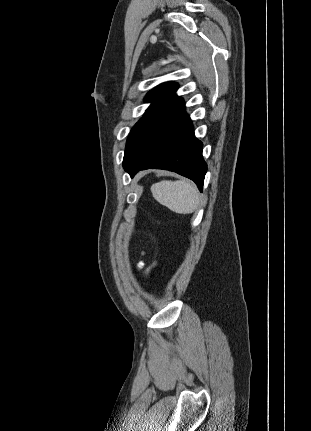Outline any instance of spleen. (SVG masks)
I'll use <instances>...</instances> for the list:
<instances>
[{
    "label": "spleen",
    "instance_id": "obj_1",
    "mask_svg": "<svg viewBox=\"0 0 311 431\" xmlns=\"http://www.w3.org/2000/svg\"><path fill=\"white\" fill-rule=\"evenodd\" d=\"M154 200L175 214H193L200 204L198 190L189 180H163L151 186Z\"/></svg>",
    "mask_w": 311,
    "mask_h": 431
}]
</instances>
